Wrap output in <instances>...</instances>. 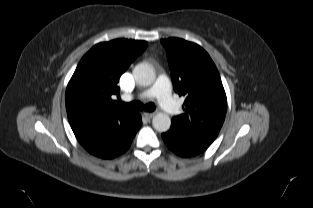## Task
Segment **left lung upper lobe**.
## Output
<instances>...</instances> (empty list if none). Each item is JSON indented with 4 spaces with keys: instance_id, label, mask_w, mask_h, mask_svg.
Listing matches in <instances>:
<instances>
[{
    "instance_id": "obj_1",
    "label": "left lung upper lobe",
    "mask_w": 313,
    "mask_h": 208,
    "mask_svg": "<svg viewBox=\"0 0 313 208\" xmlns=\"http://www.w3.org/2000/svg\"><path fill=\"white\" fill-rule=\"evenodd\" d=\"M174 90L184 96V113L171 125L184 132L215 139L224 122L227 99L219 72L199 45L179 38L162 39Z\"/></svg>"
}]
</instances>
